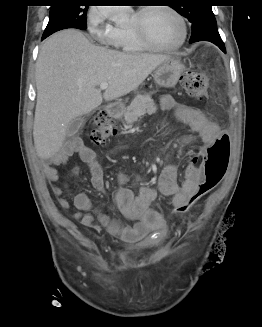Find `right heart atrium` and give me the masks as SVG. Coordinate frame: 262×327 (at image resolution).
I'll return each instance as SVG.
<instances>
[{"label":"right heart atrium","instance_id":"1","mask_svg":"<svg viewBox=\"0 0 262 327\" xmlns=\"http://www.w3.org/2000/svg\"><path fill=\"white\" fill-rule=\"evenodd\" d=\"M86 25L88 31L99 43L117 45L118 29L112 23L107 7H92L87 13Z\"/></svg>","mask_w":262,"mask_h":327}]
</instances>
